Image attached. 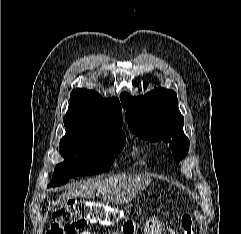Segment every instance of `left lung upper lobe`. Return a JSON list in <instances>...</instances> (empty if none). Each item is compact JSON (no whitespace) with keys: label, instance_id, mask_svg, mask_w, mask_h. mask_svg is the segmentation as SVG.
I'll list each match as a JSON object with an SVG mask.
<instances>
[{"label":"left lung upper lobe","instance_id":"1","mask_svg":"<svg viewBox=\"0 0 241 234\" xmlns=\"http://www.w3.org/2000/svg\"><path fill=\"white\" fill-rule=\"evenodd\" d=\"M120 99L126 110L125 119L135 135L150 142L169 143L176 160L187 155L189 139L183 132L184 117L173 90L156 88L138 97L123 92Z\"/></svg>","mask_w":241,"mask_h":234}]
</instances>
